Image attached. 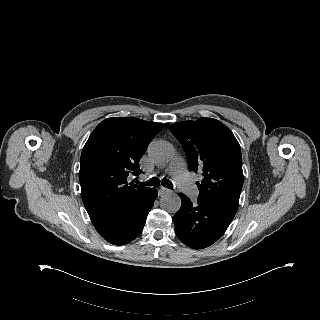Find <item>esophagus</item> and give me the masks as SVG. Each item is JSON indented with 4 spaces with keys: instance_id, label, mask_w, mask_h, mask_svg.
<instances>
[{
    "instance_id": "1",
    "label": "esophagus",
    "mask_w": 320,
    "mask_h": 320,
    "mask_svg": "<svg viewBox=\"0 0 320 320\" xmlns=\"http://www.w3.org/2000/svg\"><path fill=\"white\" fill-rule=\"evenodd\" d=\"M169 192H171V190L168 189V188H165V187H159V189H158V194L159 195H163V194H166V193H169Z\"/></svg>"
}]
</instances>
